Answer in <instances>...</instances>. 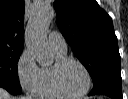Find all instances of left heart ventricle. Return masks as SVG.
<instances>
[{"mask_svg": "<svg viewBox=\"0 0 128 99\" xmlns=\"http://www.w3.org/2000/svg\"><path fill=\"white\" fill-rule=\"evenodd\" d=\"M63 88L69 93H79L87 85V78L82 68L77 64L67 65L60 76Z\"/></svg>", "mask_w": 128, "mask_h": 99, "instance_id": "obj_1", "label": "left heart ventricle"}]
</instances>
